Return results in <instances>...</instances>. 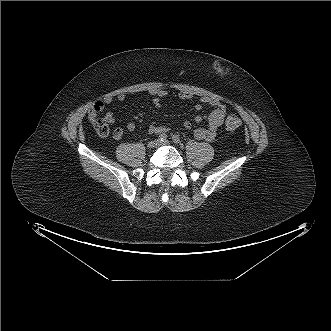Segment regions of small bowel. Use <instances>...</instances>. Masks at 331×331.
Instances as JSON below:
<instances>
[{
  "label": "small bowel",
  "mask_w": 331,
  "mask_h": 331,
  "mask_svg": "<svg viewBox=\"0 0 331 331\" xmlns=\"http://www.w3.org/2000/svg\"><path fill=\"white\" fill-rule=\"evenodd\" d=\"M149 94L153 97L152 103L155 107L159 108L162 106L163 100L169 96V93L163 89L159 88H152L149 90ZM178 98L181 100H192L194 95L186 90L179 91L177 94ZM126 96L123 93H120L116 96L107 95L102 100L97 101L94 106L89 111V118L91 121L93 119H97L98 114L105 108V106L111 105L114 100L123 101L125 100ZM211 107V112L208 114L197 113L194 116L195 123H202L203 121H207L208 127L207 128H197L194 130L193 134L194 137L198 140H205V141H213L218 128L222 125L224 121V117L227 112L226 104L215 97L212 96H202L199 98L198 102L195 105V110L200 112L203 106ZM104 121L108 124H112L115 121V117L112 111L107 110L104 114ZM183 126L187 129L192 127L191 122L185 121ZM136 125L134 122H128L126 124V129L128 131H134ZM168 131V128L158 124L157 122H152L148 127V132L150 134H165ZM122 136L121 130H116L115 138L119 139Z\"/></svg>",
  "instance_id": "small-bowel-1"
}]
</instances>
